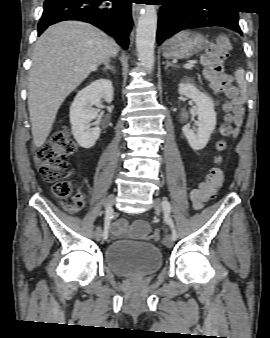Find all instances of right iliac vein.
Wrapping results in <instances>:
<instances>
[{"label": "right iliac vein", "instance_id": "63e3f726", "mask_svg": "<svg viewBox=\"0 0 270 338\" xmlns=\"http://www.w3.org/2000/svg\"><path fill=\"white\" fill-rule=\"evenodd\" d=\"M115 202V196L114 195H109L106 200H105V208H109L111 207ZM101 235H102V230H101V227L98 226L96 229H95V232H94V237L97 241H99L101 239Z\"/></svg>", "mask_w": 270, "mask_h": 338}]
</instances>
